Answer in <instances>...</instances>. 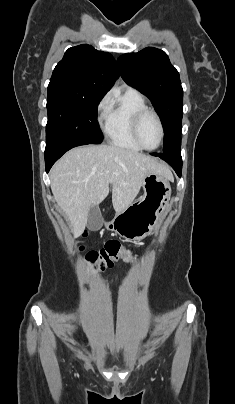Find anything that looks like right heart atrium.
<instances>
[{"instance_id":"d8ad5b80","label":"right heart atrium","mask_w":235,"mask_h":404,"mask_svg":"<svg viewBox=\"0 0 235 404\" xmlns=\"http://www.w3.org/2000/svg\"><path fill=\"white\" fill-rule=\"evenodd\" d=\"M110 97L109 95H105L101 98V100L98 102L97 107H96V113H97V118L100 123L105 119V116L108 112L109 106H110Z\"/></svg>"}]
</instances>
